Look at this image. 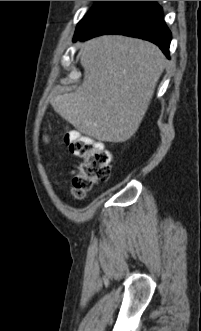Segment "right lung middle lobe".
Returning a JSON list of instances; mask_svg holds the SVG:
<instances>
[{
    "label": "right lung middle lobe",
    "instance_id": "dd1d6c3e",
    "mask_svg": "<svg viewBox=\"0 0 201 331\" xmlns=\"http://www.w3.org/2000/svg\"><path fill=\"white\" fill-rule=\"evenodd\" d=\"M116 1H98L91 11L78 23L75 31V36L83 33L92 25L96 20H98L105 11L112 6ZM74 36V37H75Z\"/></svg>",
    "mask_w": 201,
    "mask_h": 331
}]
</instances>
